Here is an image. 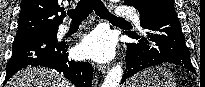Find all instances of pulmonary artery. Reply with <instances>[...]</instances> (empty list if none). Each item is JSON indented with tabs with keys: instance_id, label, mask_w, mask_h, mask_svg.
Segmentation results:
<instances>
[{
	"instance_id": "e3ab8cb5",
	"label": "pulmonary artery",
	"mask_w": 205,
	"mask_h": 87,
	"mask_svg": "<svg viewBox=\"0 0 205 87\" xmlns=\"http://www.w3.org/2000/svg\"><path fill=\"white\" fill-rule=\"evenodd\" d=\"M116 16H127V17L131 18L132 22L135 25L140 26L139 16L127 8H123V7L119 6L118 9L116 10ZM67 29H68L67 26H62L60 28V32L64 33L67 31Z\"/></svg>"
}]
</instances>
